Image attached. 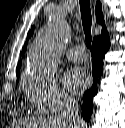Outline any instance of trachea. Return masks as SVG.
<instances>
[{
  "mask_svg": "<svg viewBox=\"0 0 125 128\" xmlns=\"http://www.w3.org/2000/svg\"><path fill=\"white\" fill-rule=\"evenodd\" d=\"M80 3V11H81V19L83 30L85 34V42L87 48H91L92 36H91V26H92V16L90 9V1L89 0H79Z\"/></svg>",
  "mask_w": 125,
  "mask_h": 128,
  "instance_id": "obj_1",
  "label": "trachea"
}]
</instances>
